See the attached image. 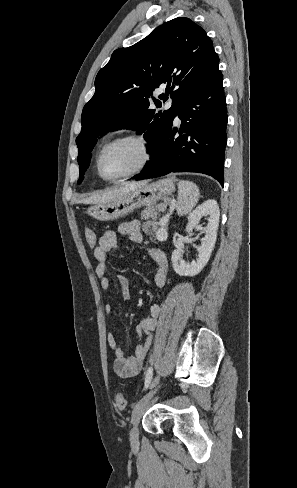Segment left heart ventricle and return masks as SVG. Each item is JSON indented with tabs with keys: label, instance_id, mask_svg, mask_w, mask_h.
Returning a JSON list of instances; mask_svg holds the SVG:
<instances>
[{
	"label": "left heart ventricle",
	"instance_id": "1",
	"mask_svg": "<svg viewBox=\"0 0 297 488\" xmlns=\"http://www.w3.org/2000/svg\"><path fill=\"white\" fill-rule=\"evenodd\" d=\"M143 149L136 141H123L109 148L102 161L107 177H116L134 169L143 158Z\"/></svg>",
	"mask_w": 297,
	"mask_h": 488
}]
</instances>
